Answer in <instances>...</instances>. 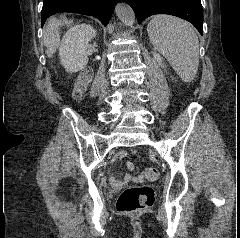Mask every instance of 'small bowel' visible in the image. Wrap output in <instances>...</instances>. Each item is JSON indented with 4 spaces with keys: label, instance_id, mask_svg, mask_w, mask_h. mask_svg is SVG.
Listing matches in <instances>:
<instances>
[{
    "label": "small bowel",
    "instance_id": "small-bowel-1",
    "mask_svg": "<svg viewBox=\"0 0 240 238\" xmlns=\"http://www.w3.org/2000/svg\"><path fill=\"white\" fill-rule=\"evenodd\" d=\"M126 151H119L115 156L113 161H121L126 157ZM129 171H132L133 174L137 173L136 166H132L130 162H127ZM107 179L109 182H106V187H127L126 179H116L115 175H108Z\"/></svg>",
    "mask_w": 240,
    "mask_h": 238
}]
</instances>
